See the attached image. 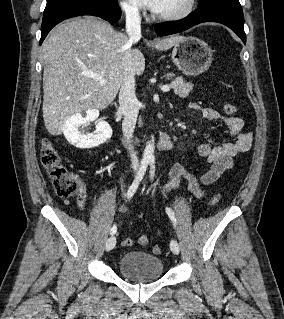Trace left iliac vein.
Returning a JSON list of instances; mask_svg holds the SVG:
<instances>
[{
  "label": "left iliac vein",
  "instance_id": "obj_1",
  "mask_svg": "<svg viewBox=\"0 0 284 319\" xmlns=\"http://www.w3.org/2000/svg\"><path fill=\"white\" fill-rule=\"evenodd\" d=\"M170 249L174 254H179L180 251V247H179V243L177 242V240L172 239L170 241Z\"/></svg>",
  "mask_w": 284,
  "mask_h": 319
}]
</instances>
